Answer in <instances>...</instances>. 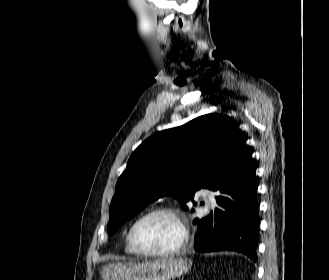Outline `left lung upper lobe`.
Returning <instances> with one entry per match:
<instances>
[{
    "instance_id": "5c2ea615",
    "label": "left lung upper lobe",
    "mask_w": 329,
    "mask_h": 280,
    "mask_svg": "<svg viewBox=\"0 0 329 280\" xmlns=\"http://www.w3.org/2000/svg\"><path fill=\"white\" fill-rule=\"evenodd\" d=\"M245 142L230 117L214 113L145 140L117 181L109 210V235L164 195L174 196L188 210L185 203L193 201L196 190L205 187L218 192L226 187L241 168Z\"/></svg>"
}]
</instances>
